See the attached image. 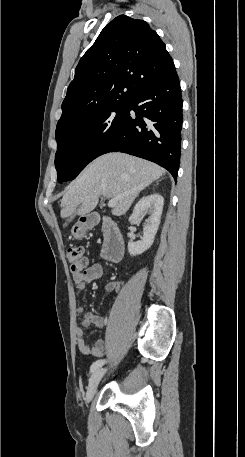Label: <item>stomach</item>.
Here are the masks:
<instances>
[{
    "mask_svg": "<svg viewBox=\"0 0 245 457\" xmlns=\"http://www.w3.org/2000/svg\"><path fill=\"white\" fill-rule=\"evenodd\" d=\"M91 224H94V222H90L89 216H85V220H79V222H76V224L72 226L71 235H73L75 239H81V237H84L86 231L91 229Z\"/></svg>",
    "mask_w": 245,
    "mask_h": 457,
    "instance_id": "1",
    "label": "stomach"
}]
</instances>
